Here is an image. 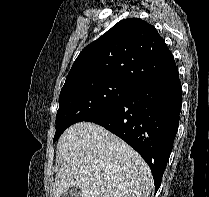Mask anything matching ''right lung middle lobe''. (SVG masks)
I'll return each mask as SVG.
<instances>
[{
  "mask_svg": "<svg viewBox=\"0 0 209 197\" xmlns=\"http://www.w3.org/2000/svg\"><path fill=\"white\" fill-rule=\"evenodd\" d=\"M135 87L116 80L84 81L61 89L53 141L70 125L106 109L129 95Z\"/></svg>",
  "mask_w": 209,
  "mask_h": 197,
  "instance_id": "obj_1",
  "label": "right lung middle lobe"
}]
</instances>
